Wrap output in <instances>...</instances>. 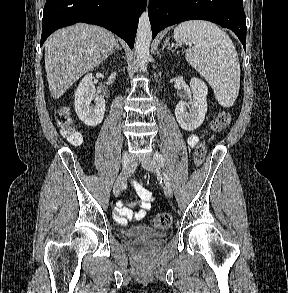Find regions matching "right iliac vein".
<instances>
[{
  "label": "right iliac vein",
  "instance_id": "obj_1",
  "mask_svg": "<svg viewBox=\"0 0 288 293\" xmlns=\"http://www.w3.org/2000/svg\"><path fill=\"white\" fill-rule=\"evenodd\" d=\"M123 156H129V159H130V167H129L128 170H123L122 169L120 175L118 176V178L116 179V181L114 183L113 193H114V196H116V197L119 195L122 186L124 185L125 181L129 177V175L131 174L132 169H133V165H134L133 159L130 157V155L127 152H125L123 154Z\"/></svg>",
  "mask_w": 288,
  "mask_h": 293
}]
</instances>
